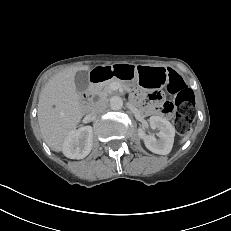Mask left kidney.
<instances>
[{
	"mask_svg": "<svg viewBox=\"0 0 231 231\" xmlns=\"http://www.w3.org/2000/svg\"><path fill=\"white\" fill-rule=\"evenodd\" d=\"M150 126L152 129H158L159 132L156 139L153 134H147L143 129H138V135L143 139L145 146L153 153L167 155L170 153L175 136V128L172 124L160 116L150 117Z\"/></svg>",
	"mask_w": 231,
	"mask_h": 231,
	"instance_id": "left-kidney-1",
	"label": "left kidney"
}]
</instances>
